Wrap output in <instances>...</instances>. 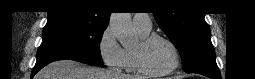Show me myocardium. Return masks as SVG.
<instances>
[{
  "label": "myocardium",
  "mask_w": 255,
  "mask_h": 79,
  "mask_svg": "<svg viewBox=\"0 0 255 79\" xmlns=\"http://www.w3.org/2000/svg\"><path fill=\"white\" fill-rule=\"evenodd\" d=\"M156 39H160L166 42L170 46L173 52L172 64L170 65L169 68L163 71H153L149 69L145 63V57H144L145 49ZM134 56H135V63H136V67L138 71L148 76H164V75H168L172 73L179 67L180 59H181L180 51L178 47L176 46V44L167 36L158 34V33L149 34L145 38H142L139 44L134 49Z\"/></svg>",
  "instance_id": "1"
}]
</instances>
